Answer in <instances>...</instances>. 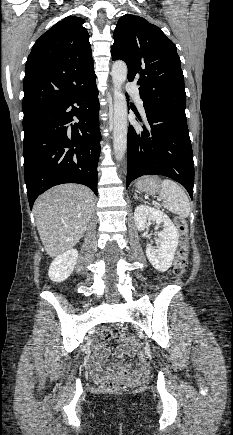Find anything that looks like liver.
I'll list each match as a JSON object with an SVG mask.
<instances>
[{
	"mask_svg": "<svg viewBox=\"0 0 233 435\" xmlns=\"http://www.w3.org/2000/svg\"><path fill=\"white\" fill-rule=\"evenodd\" d=\"M94 210L93 192L79 184L55 186L40 195L33 207L46 253L54 258L82 238Z\"/></svg>",
	"mask_w": 233,
	"mask_h": 435,
	"instance_id": "6515ba94",
	"label": "liver"
}]
</instances>
